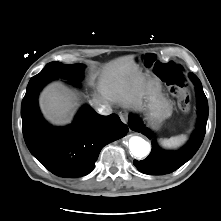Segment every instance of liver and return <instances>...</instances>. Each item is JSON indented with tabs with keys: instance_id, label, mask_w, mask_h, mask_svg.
I'll return each mask as SVG.
<instances>
[{
	"instance_id": "obj_1",
	"label": "liver",
	"mask_w": 221,
	"mask_h": 221,
	"mask_svg": "<svg viewBox=\"0 0 221 221\" xmlns=\"http://www.w3.org/2000/svg\"><path fill=\"white\" fill-rule=\"evenodd\" d=\"M153 83L154 81L147 82L140 75L133 56H125L105 66L100 91L102 94L112 95L125 108L139 110ZM92 102L98 106L102 99L95 97ZM39 103L44 116L58 125L71 121L77 105L72 94L59 84L48 86L42 92Z\"/></svg>"
}]
</instances>
